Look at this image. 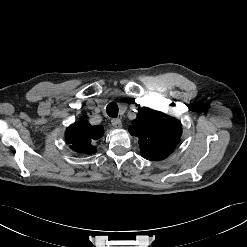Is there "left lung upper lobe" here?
<instances>
[{
	"mask_svg": "<svg viewBox=\"0 0 247 247\" xmlns=\"http://www.w3.org/2000/svg\"><path fill=\"white\" fill-rule=\"evenodd\" d=\"M129 131L138 137L142 156L148 160L166 158L180 141V122L147 107L139 109Z\"/></svg>",
	"mask_w": 247,
	"mask_h": 247,
	"instance_id": "5c2ea615",
	"label": "left lung upper lobe"
}]
</instances>
